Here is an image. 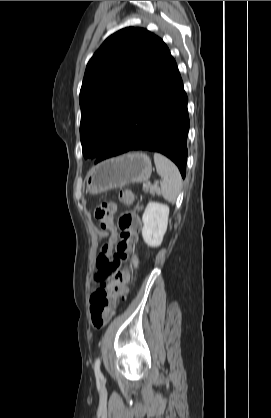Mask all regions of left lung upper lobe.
Instances as JSON below:
<instances>
[{
    "mask_svg": "<svg viewBox=\"0 0 271 418\" xmlns=\"http://www.w3.org/2000/svg\"><path fill=\"white\" fill-rule=\"evenodd\" d=\"M171 54L143 28L108 37L87 64L81 91L80 139L85 158H97Z\"/></svg>",
    "mask_w": 271,
    "mask_h": 418,
    "instance_id": "5c2ea615",
    "label": "left lung upper lobe"
}]
</instances>
